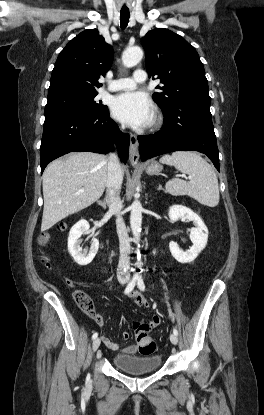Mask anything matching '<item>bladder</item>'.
<instances>
[{"mask_svg":"<svg viewBox=\"0 0 264 415\" xmlns=\"http://www.w3.org/2000/svg\"><path fill=\"white\" fill-rule=\"evenodd\" d=\"M113 364L130 374H141L158 370L162 364L160 355L132 356L118 354L113 358Z\"/></svg>","mask_w":264,"mask_h":415,"instance_id":"1","label":"bladder"}]
</instances>
